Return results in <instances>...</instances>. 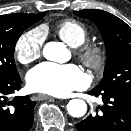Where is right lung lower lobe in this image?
<instances>
[{"instance_id":"98d812e1","label":"right lung lower lobe","mask_w":131,"mask_h":131,"mask_svg":"<svg viewBox=\"0 0 131 131\" xmlns=\"http://www.w3.org/2000/svg\"><path fill=\"white\" fill-rule=\"evenodd\" d=\"M20 86L19 74L0 77V131H29L32 127L36 102L31 101L29 96L8 98Z\"/></svg>"}]
</instances>
